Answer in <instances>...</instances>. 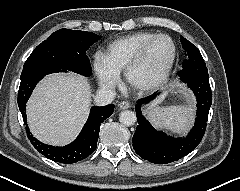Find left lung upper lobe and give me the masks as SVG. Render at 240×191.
I'll return each mask as SVG.
<instances>
[{
  "label": "left lung upper lobe",
  "mask_w": 240,
  "mask_h": 191,
  "mask_svg": "<svg viewBox=\"0 0 240 191\" xmlns=\"http://www.w3.org/2000/svg\"><path fill=\"white\" fill-rule=\"evenodd\" d=\"M180 41L187 54V59L183 63L184 69L192 74L207 72L206 64L203 61L200 51L182 36Z\"/></svg>",
  "instance_id": "left-lung-upper-lobe-1"
}]
</instances>
